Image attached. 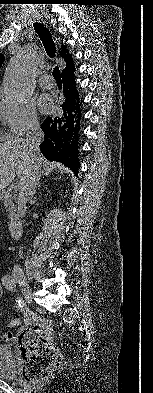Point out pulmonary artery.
I'll use <instances>...</instances> for the list:
<instances>
[{
  "label": "pulmonary artery",
  "mask_w": 153,
  "mask_h": 393,
  "mask_svg": "<svg viewBox=\"0 0 153 393\" xmlns=\"http://www.w3.org/2000/svg\"><path fill=\"white\" fill-rule=\"evenodd\" d=\"M40 85L45 89H50L53 86V79L48 74L42 75L40 77Z\"/></svg>",
  "instance_id": "e3ab8cb5"
}]
</instances>
